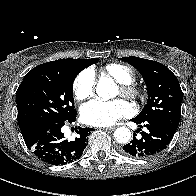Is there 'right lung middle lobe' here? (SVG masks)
Returning <instances> with one entry per match:
<instances>
[{"mask_svg":"<svg viewBox=\"0 0 196 196\" xmlns=\"http://www.w3.org/2000/svg\"><path fill=\"white\" fill-rule=\"evenodd\" d=\"M80 72L65 63L42 64L29 71L16 92L20 130L76 115L72 88Z\"/></svg>","mask_w":196,"mask_h":196,"instance_id":"dd1d6c3e","label":"right lung middle lobe"}]
</instances>
